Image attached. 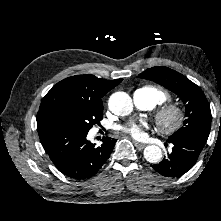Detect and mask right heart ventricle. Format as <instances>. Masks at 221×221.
Listing matches in <instances>:
<instances>
[{
	"instance_id": "1",
	"label": "right heart ventricle",
	"mask_w": 221,
	"mask_h": 221,
	"mask_svg": "<svg viewBox=\"0 0 221 221\" xmlns=\"http://www.w3.org/2000/svg\"><path fill=\"white\" fill-rule=\"evenodd\" d=\"M145 88H148L152 92L154 96L155 105L161 104L169 100L170 98V93L163 88L156 87V86H146Z\"/></svg>"
}]
</instances>
